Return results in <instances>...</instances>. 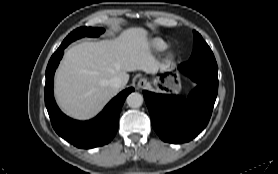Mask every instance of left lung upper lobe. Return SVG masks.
<instances>
[{
    "label": "left lung upper lobe",
    "mask_w": 278,
    "mask_h": 174,
    "mask_svg": "<svg viewBox=\"0 0 278 174\" xmlns=\"http://www.w3.org/2000/svg\"><path fill=\"white\" fill-rule=\"evenodd\" d=\"M193 33L194 47L189 61H199L211 68L218 69L215 57L208 44L198 32L194 30Z\"/></svg>",
    "instance_id": "5c2ea615"
}]
</instances>
